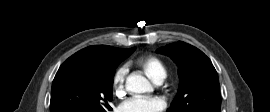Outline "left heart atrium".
Instances as JSON below:
<instances>
[{"label": "left heart atrium", "mask_w": 270, "mask_h": 112, "mask_svg": "<svg viewBox=\"0 0 270 112\" xmlns=\"http://www.w3.org/2000/svg\"><path fill=\"white\" fill-rule=\"evenodd\" d=\"M164 108L165 102L159 97H132L120 105L119 112H161Z\"/></svg>", "instance_id": "39dd6f15"}]
</instances>
